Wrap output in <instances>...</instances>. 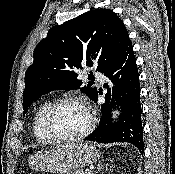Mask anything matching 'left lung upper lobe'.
I'll list each match as a JSON object with an SVG mask.
<instances>
[{"label":"left lung upper lobe","instance_id":"left-lung-upper-lobe-1","mask_svg":"<svg viewBox=\"0 0 175 174\" xmlns=\"http://www.w3.org/2000/svg\"><path fill=\"white\" fill-rule=\"evenodd\" d=\"M131 43L122 20L110 9L88 11L50 29L36 47L33 64L25 73L24 114L29 105L53 90L79 89L82 81L75 70L96 66L104 73ZM90 99L97 89L80 88Z\"/></svg>","mask_w":175,"mask_h":174}]
</instances>
